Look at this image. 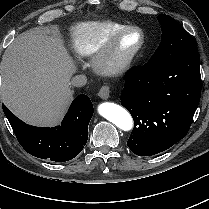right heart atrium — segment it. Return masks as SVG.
I'll list each match as a JSON object with an SVG mask.
<instances>
[{
	"mask_svg": "<svg viewBox=\"0 0 209 209\" xmlns=\"http://www.w3.org/2000/svg\"><path fill=\"white\" fill-rule=\"evenodd\" d=\"M67 71H68V73H71L73 71V67L69 66Z\"/></svg>",
	"mask_w": 209,
	"mask_h": 209,
	"instance_id": "right-heart-atrium-1",
	"label": "right heart atrium"
}]
</instances>
